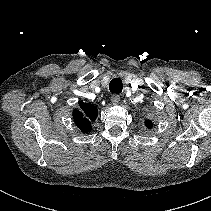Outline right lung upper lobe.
I'll return each mask as SVG.
<instances>
[{
  "instance_id": "right-lung-upper-lobe-1",
  "label": "right lung upper lobe",
  "mask_w": 211,
  "mask_h": 211,
  "mask_svg": "<svg viewBox=\"0 0 211 211\" xmlns=\"http://www.w3.org/2000/svg\"><path fill=\"white\" fill-rule=\"evenodd\" d=\"M79 106L82 111L74 109L73 118L77 127L81 131L87 133L92 129L91 121L96 120L98 116V110L94 105L90 103H84L83 101L79 102Z\"/></svg>"
}]
</instances>
